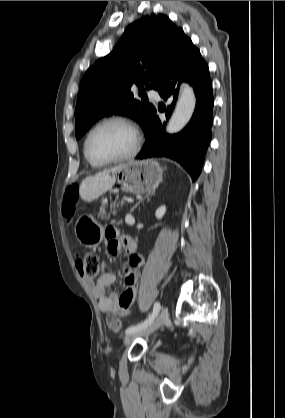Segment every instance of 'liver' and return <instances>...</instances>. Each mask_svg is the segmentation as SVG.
<instances>
[{"label": "liver", "instance_id": "1", "mask_svg": "<svg viewBox=\"0 0 285 418\" xmlns=\"http://www.w3.org/2000/svg\"><path fill=\"white\" fill-rule=\"evenodd\" d=\"M119 169V166L111 170L104 171L95 176L86 177L80 184L79 194L85 201H93L108 191L115 184L116 178L113 175ZM112 173V175H110Z\"/></svg>", "mask_w": 285, "mask_h": 418}]
</instances>
